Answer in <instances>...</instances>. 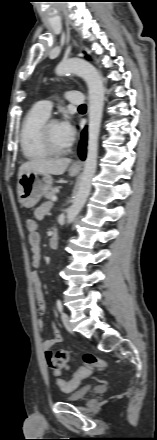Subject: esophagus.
Listing matches in <instances>:
<instances>
[{"mask_svg":"<svg viewBox=\"0 0 157 440\" xmlns=\"http://www.w3.org/2000/svg\"><path fill=\"white\" fill-rule=\"evenodd\" d=\"M73 45H74V47H77V43L75 41H73ZM81 166H82V163L80 160H77L72 164V168H74V169H80Z\"/></svg>","mask_w":157,"mask_h":440,"instance_id":"obj_1","label":"esophagus"}]
</instances>
